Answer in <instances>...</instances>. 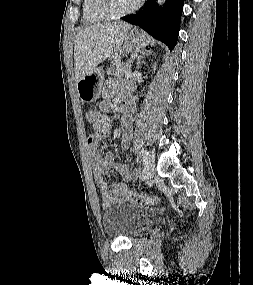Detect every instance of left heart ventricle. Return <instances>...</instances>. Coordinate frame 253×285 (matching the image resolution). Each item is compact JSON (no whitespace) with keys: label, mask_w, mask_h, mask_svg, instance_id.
I'll return each instance as SVG.
<instances>
[{"label":"left heart ventricle","mask_w":253,"mask_h":285,"mask_svg":"<svg viewBox=\"0 0 253 285\" xmlns=\"http://www.w3.org/2000/svg\"><path fill=\"white\" fill-rule=\"evenodd\" d=\"M107 7L113 12L124 11L130 8L136 0H105Z\"/></svg>","instance_id":"obj_1"}]
</instances>
